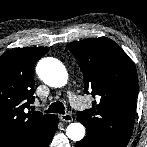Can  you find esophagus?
<instances>
[{"label":"esophagus","instance_id":"1","mask_svg":"<svg viewBox=\"0 0 147 147\" xmlns=\"http://www.w3.org/2000/svg\"><path fill=\"white\" fill-rule=\"evenodd\" d=\"M60 119H61L62 121H64V122H71V121H73V117H72V115L69 114V113L60 115Z\"/></svg>","mask_w":147,"mask_h":147}]
</instances>
